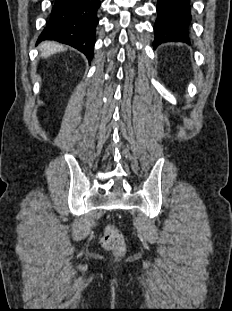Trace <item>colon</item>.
<instances>
[{
  "label": "colon",
  "mask_w": 232,
  "mask_h": 311,
  "mask_svg": "<svg viewBox=\"0 0 232 311\" xmlns=\"http://www.w3.org/2000/svg\"><path fill=\"white\" fill-rule=\"evenodd\" d=\"M102 246L113 253L120 255L125 251V242L121 231L114 225H107L101 239Z\"/></svg>",
  "instance_id": "obj_1"
}]
</instances>
